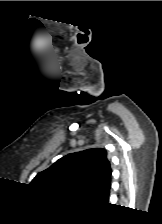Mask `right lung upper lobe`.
Instances as JSON below:
<instances>
[{"mask_svg":"<svg viewBox=\"0 0 162 224\" xmlns=\"http://www.w3.org/2000/svg\"><path fill=\"white\" fill-rule=\"evenodd\" d=\"M106 156L101 148L68 154L38 173L31 185L52 193L75 195L92 205L106 203L112 173Z\"/></svg>","mask_w":162,"mask_h":224,"instance_id":"1","label":"right lung upper lobe"}]
</instances>
